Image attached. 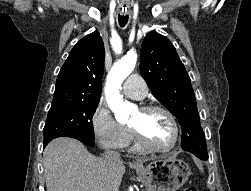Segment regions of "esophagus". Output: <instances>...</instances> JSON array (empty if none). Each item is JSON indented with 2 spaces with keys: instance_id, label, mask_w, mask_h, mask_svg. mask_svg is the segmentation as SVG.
Masks as SVG:
<instances>
[{
  "instance_id": "esophagus-1",
  "label": "esophagus",
  "mask_w": 251,
  "mask_h": 191,
  "mask_svg": "<svg viewBox=\"0 0 251 191\" xmlns=\"http://www.w3.org/2000/svg\"><path fill=\"white\" fill-rule=\"evenodd\" d=\"M133 164L136 165V164H138V163H137V162H134Z\"/></svg>"
}]
</instances>
